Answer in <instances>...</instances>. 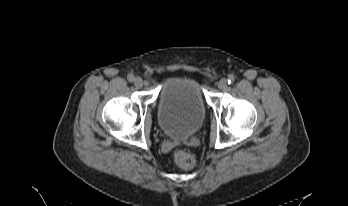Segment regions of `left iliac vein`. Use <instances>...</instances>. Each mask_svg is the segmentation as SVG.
<instances>
[{
	"label": "left iliac vein",
	"instance_id": "1",
	"mask_svg": "<svg viewBox=\"0 0 348 206\" xmlns=\"http://www.w3.org/2000/svg\"><path fill=\"white\" fill-rule=\"evenodd\" d=\"M228 86V81L225 78H222L219 82H218V88L221 90L226 89Z\"/></svg>",
	"mask_w": 348,
	"mask_h": 206
}]
</instances>
